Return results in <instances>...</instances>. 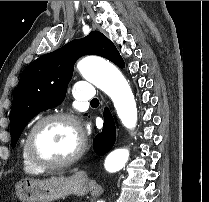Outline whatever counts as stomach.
<instances>
[{
    "mask_svg": "<svg viewBox=\"0 0 209 202\" xmlns=\"http://www.w3.org/2000/svg\"><path fill=\"white\" fill-rule=\"evenodd\" d=\"M89 190L88 181L79 173L45 180L22 179L15 185V194L21 202H52L71 194L83 196Z\"/></svg>",
    "mask_w": 209,
    "mask_h": 202,
    "instance_id": "0dacf381",
    "label": "stomach"
}]
</instances>
